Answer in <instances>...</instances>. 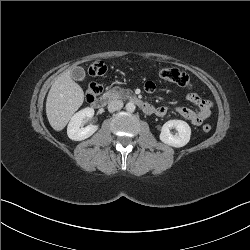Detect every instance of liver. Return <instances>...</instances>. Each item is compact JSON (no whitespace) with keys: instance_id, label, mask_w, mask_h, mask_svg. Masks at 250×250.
<instances>
[{"instance_id":"1","label":"liver","mask_w":250,"mask_h":250,"mask_svg":"<svg viewBox=\"0 0 250 250\" xmlns=\"http://www.w3.org/2000/svg\"><path fill=\"white\" fill-rule=\"evenodd\" d=\"M84 101L83 89L64 71L52 84L47 100L46 115L51 127L61 131Z\"/></svg>"}]
</instances>
